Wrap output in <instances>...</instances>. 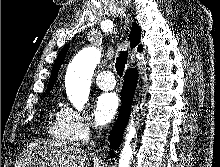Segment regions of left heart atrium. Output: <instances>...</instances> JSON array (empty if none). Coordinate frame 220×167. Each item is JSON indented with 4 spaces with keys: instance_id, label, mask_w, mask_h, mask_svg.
I'll return each instance as SVG.
<instances>
[{
    "instance_id": "39dd6f15",
    "label": "left heart atrium",
    "mask_w": 220,
    "mask_h": 167,
    "mask_svg": "<svg viewBox=\"0 0 220 167\" xmlns=\"http://www.w3.org/2000/svg\"><path fill=\"white\" fill-rule=\"evenodd\" d=\"M119 100L115 93L101 94L94 106V116L98 124L103 125L110 122L118 109Z\"/></svg>"
}]
</instances>
